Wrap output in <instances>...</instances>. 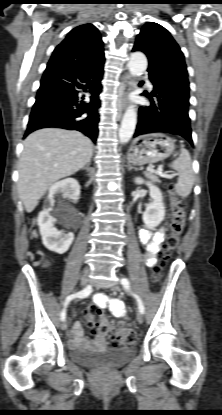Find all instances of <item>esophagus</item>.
Masks as SVG:
<instances>
[{
	"instance_id": "34e87169",
	"label": "esophagus",
	"mask_w": 222,
	"mask_h": 415,
	"mask_svg": "<svg viewBox=\"0 0 222 415\" xmlns=\"http://www.w3.org/2000/svg\"><path fill=\"white\" fill-rule=\"evenodd\" d=\"M132 85H133V80L130 75H127L124 79V82L122 85V93L120 96V106L122 110L126 108L127 98L131 91Z\"/></svg>"
}]
</instances>
